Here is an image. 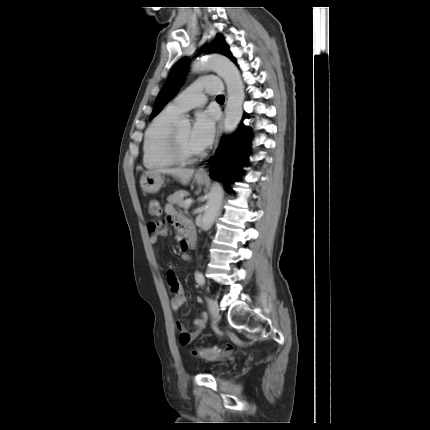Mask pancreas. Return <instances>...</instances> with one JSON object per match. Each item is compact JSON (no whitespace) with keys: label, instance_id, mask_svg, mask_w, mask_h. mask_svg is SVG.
I'll use <instances>...</instances> for the list:
<instances>
[{"label":"pancreas","instance_id":"cf45deb5","mask_svg":"<svg viewBox=\"0 0 430 430\" xmlns=\"http://www.w3.org/2000/svg\"><path fill=\"white\" fill-rule=\"evenodd\" d=\"M189 193L186 190H177L174 194L168 196L167 200L171 203L177 204L179 207H184V196H188Z\"/></svg>","mask_w":430,"mask_h":430}]
</instances>
